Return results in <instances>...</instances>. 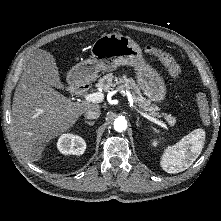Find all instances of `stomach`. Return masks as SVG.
Returning a JSON list of instances; mask_svg holds the SVG:
<instances>
[{
    "label": "stomach",
    "mask_w": 221,
    "mask_h": 221,
    "mask_svg": "<svg viewBox=\"0 0 221 221\" xmlns=\"http://www.w3.org/2000/svg\"><path fill=\"white\" fill-rule=\"evenodd\" d=\"M92 59L76 64L69 72L73 83L78 85L94 80L103 70L110 72L118 66H132L137 82L150 101L162 102L166 97V85L162 76L146 63L140 46L130 37L117 33L105 34L91 47Z\"/></svg>",
    "instance_id": "obj_1"
}]
</instances>
